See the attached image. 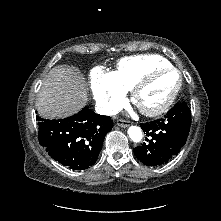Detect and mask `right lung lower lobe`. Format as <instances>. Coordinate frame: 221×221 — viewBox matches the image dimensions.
<instances>
[{
    "label": "right lung lower lobe",
    "mask_w": 221,
    "mask_h": 221,
    "mask_svg": "<svg viewBox=\"0 0 221 221\" xmlns=\"http://www.w3.org/2000/svg\"><path fill=\"white\" fill-rule=\"evenodd\" d=\"M37 119L40 145L54 160L73 170L87 169L97 161L105 135L113 127L111 117L88 108L60 120Z\"/></svg>",
    "instance_id": "right-lung-lower-lobe-1"
}]
</instances>
